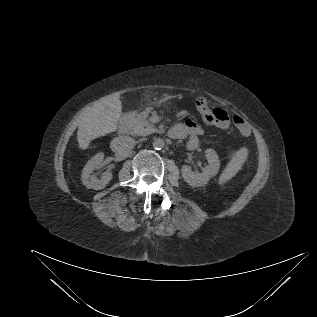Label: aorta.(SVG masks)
Listing matches in <instances>:
<instances>
[{
  "instance_id": "1",
  "label": "aorta",
  "mask_w": 317,
  "mask_h": 317,
  "mask_svg": "<svg viewBox=\"0 0 317 317\" xmlns=\"http://www.w3.org/2000/svg\"><path fill=\"white\" fill-rule=\"evenodd\" d=\"M153 147L156 149V150H160L164 147L165 143H164V140L161 139V138H155L153 140V143H152Z\"/></svg>"
}]
</instances>
